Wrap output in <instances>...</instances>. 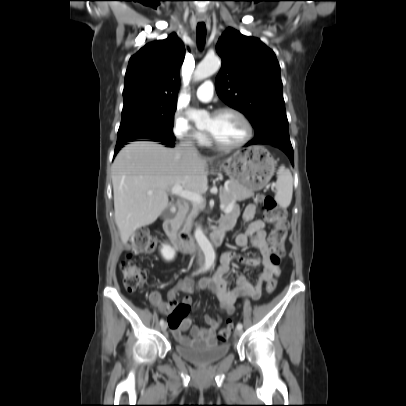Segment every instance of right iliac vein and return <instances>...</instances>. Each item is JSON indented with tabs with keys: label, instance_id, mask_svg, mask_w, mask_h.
<instances>
[{
	"label": "right iliac vein",
	"instance_id": "obj_1",
	"mask_svg": "<svg viewBox=\"0 0 406 406\" xmlns=\"http://www.w3.org/2000/svg\"><path fill=\"white\" fill-rule=\"evenodd\" d=\"M166 329H167V324H166V323H164L163 325H161V330H162V331H166Z\"/></svg>",
	"mask_w": 406,
	"mask_h": 406
}]
</instances>
